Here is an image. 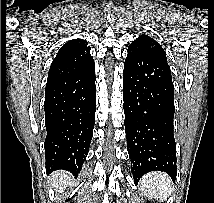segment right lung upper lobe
<instances>
[{"mask_svg":"<svg viewBox=\"0 0 214 203\" xmlns=\"http://www.w3.org/2000/svg\"><path fill=\"white\" fill-rule=\"evenodd\" d=\"M90 46L83 39L65 43L58 51L49 69L47 84L73 75L94 62Z\"/></svg>","mask_w":214,"mask_h":203,"instance_id":"cb5924a9","label":"right lung upper lobe"}]
</instances>
